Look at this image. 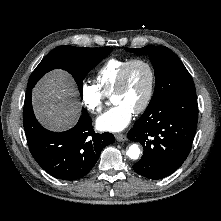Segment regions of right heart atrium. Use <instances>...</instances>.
<instances>
[{
	"label": "right heart atrium",
	"mask_w": 221,
	"mask_h": 221,
	"mask_svg": "<svg viewBox=\"0 0 221 221\" xmlns=\"http://www.w3.org/2000/svg\"><path fill=\"white\" fill-rule=\"evenodd\" d=\"M81 99L85 108L92 114H98L104 107L105 97L98 86L84 82L81 86Z\"/></svg>",
	"instance_id": "d8ad5b80"
}]
</instances>
